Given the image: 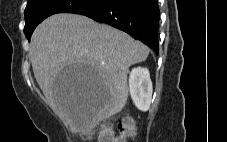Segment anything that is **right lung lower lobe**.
<instances>
[{
	"mask_svg": "<svg viewBox=\"0 0 227 142\" xmlns=\"http://www.w3.org/2000/svg\"><path fill=\"white\" fill-rule=\"evenodd\" d=\"M78 14L118 28L158 54L160 11L157 0H107Z\"/></svg>",
	"mask_w": 227,
	"mask_h": 142,
	"instance_id": "98d812e1",
	"label": "right lung lower lobe"
}]
</instances>
